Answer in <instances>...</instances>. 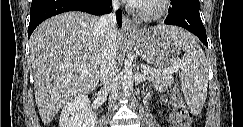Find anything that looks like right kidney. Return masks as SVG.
<instances>
[{"mask_svg":"<svg viewBox=\"0 0 243 127\" xmlns=\"http://www.w3.org/2000/svg\"><path fill=\"white\" fill-rule=\"evenodd\" d=\"M97 115L90 109V100L86 95L76 96L67 102L61 112L60 127H94Z\"/></svg>","mask_w":243,"mask_h":127,"instance_id":"obj_1","label":"right kidney"}]
</instances>
